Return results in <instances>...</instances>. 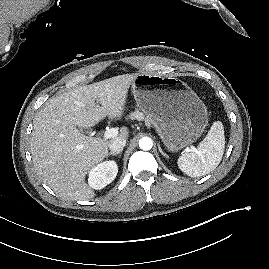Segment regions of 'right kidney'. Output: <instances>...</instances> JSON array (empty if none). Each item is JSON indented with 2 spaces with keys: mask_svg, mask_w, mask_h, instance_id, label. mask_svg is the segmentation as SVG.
I'll use <instances>...</instances> for the list:
<instances>
[{
  "mask_svg": "<svg viewBox=\"0 0 269 269\" xmlns=\"http://www.w3.org/2000/svg\"><path fill=\"white\" fill-rule=\"evenodd\" d=\"M117 173L118 166L115 161H104L90 170L88 184L91 188L100 190L110 184Z\"/></svg>",
  "mask_w": 269,
  "mask_h": 269,
  "instance_id": "right-kidney-1",
  "label": "right kidney"
}]
</instances>
